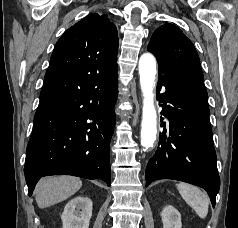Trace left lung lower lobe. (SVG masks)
I'll list each match as a JSON object with an SVG mask.
<instances>
[{
  "instance_id": "0a47b994",
  "label": "left lung lower lobe",
  "mask_w": 238,
  "mask_h": 228,
  "mask_svg": "<svg viewBox=\"0 0 238 228\" xmlns=\"http://www.w3.org/2000/svg\"><path fill=\"white\" fill-rule=\"evenodd\" d=\"M157 100L169 127L160 134L157 151L147 164L146 186L159 179L191 183L207 191L214 207L220 178L207 99L171 75L159 73Z\"/></svg>"
}]
</instances>
